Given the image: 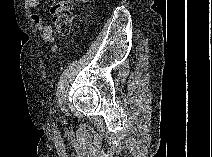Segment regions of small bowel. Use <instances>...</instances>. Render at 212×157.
Masks as SVG:
<instances>
[{"mask_svg": "<svg viewBox=\"0 0 212 157\" xmlns=\"http://www.w3.org/2000/svg\"><path fill=\"white\" fill-rule=\"evenodd\" d=\"M39 4H40V0H27L25 2V6L28 9H34L38 7ZM31 22L33 26L40 31L43 40L49 44L50 51L53 53L57 52L58 45L54 37L53 27L49 24H44L42 17L39 14H32Z\"/></svg>", "mask_w": 212, "mask_h": 157, "instance_id": "obj_1", "label": "small bowel"}]
</instances>
